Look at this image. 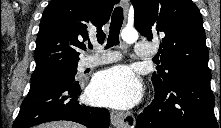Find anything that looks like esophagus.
<instances>
[{"label":"esophagus","mask_w":221,"mask_h":128,"mask_svg":"<svg viewBox=\"0 0 221 128\" xmlns=\"http://www.w3.org/2000/svg\"><path fill=\"white\" fill-rule=\"evenodd\" d=\"M124 15L127 16L129 9V0H121ZM112 124L117 128H134L135 117L130 112H112Z\"/></svg>","instance_id":"1"}]
</instances>
